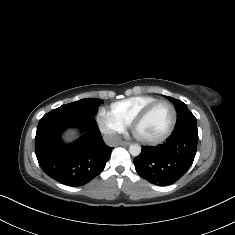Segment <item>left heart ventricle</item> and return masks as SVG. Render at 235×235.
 I'll return each instance as SVG.
<instances>
[{
    "mask_svg": "<svg viewBox=\"0 0 235 235\" xmlns=\"http://www.w3.org/2000/svg\"><path fill=\"white\" fill-rule=\"evenodd\" d=\"M172 110L169 105H159L147 118L141 123L136 134L142 139H153L164 135L171 124Z\"/></svg>",
    "mask_w": 235,
    "mask_h": 235,
    "instance_id": "b2bd125f",
    "label": "left heart ventricle"
}]
</instances>
